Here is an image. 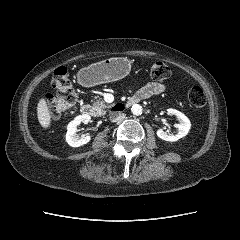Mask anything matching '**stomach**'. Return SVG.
<instances>
[{
  "label": "stomach",
  "instance_id": "obj_1",
  "mask_svg": "<svg viewBox=\"0 0 240 240\" xmlns=\"http://www.w3.org/2000/svg\"><path fill=\"white\" fill-rule=\"evenodd\" d=\"M129 70L128 61L123 58H109L82 68L78 75L83 84L95 86L122 79Z\"/></svg>",
  "mask_w": 240,
  "mask_h": 240
}]
</instances>
